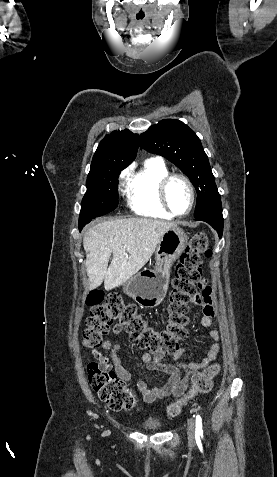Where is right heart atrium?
Returning <instances> with one entry per match:
<instances>
[{
	"mask_svg": "<svg viewBox=\"0 0 277 477\" xmlns=\"http://www.w3.org/2000/svg\"><path fill=\"white\" fill-rule=\"evenodd\" d=\"M128 176V170H124L120 176L121 181H125Z\"/></svg>",
	"mask_w": 277,
	"mask_h": 477,
	"instance_id": "obj_1",
	"label": "right heart atrium"
}]
</instances>
